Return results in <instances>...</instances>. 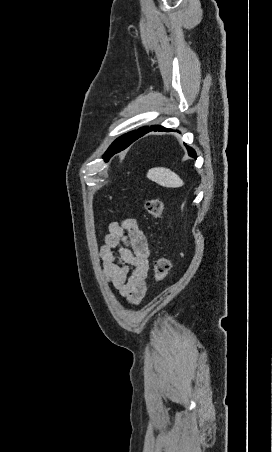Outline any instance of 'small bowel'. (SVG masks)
Instances as JSON below:
<instances>
[{"label":"small bowel","mask_w":272,"mask_h":452,"mask_svg":"<svg viewBox=\"0 0 272 452\" xmlns=\"http://www.w3.org/2000/svg\"><path fill=\"white\" fill-rule=\"evenodd\" d=\"M149 255L147 237L136 219L109 225L99 250L103 276L132 304H138L146 293Z\"/></svg>","instance_id":"c3829d8e"}]
</instances>
